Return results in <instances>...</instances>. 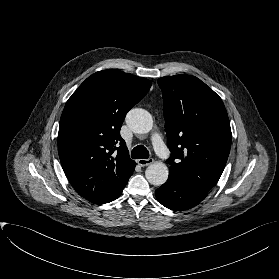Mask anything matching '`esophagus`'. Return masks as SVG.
I'll use <instances>...</instances> for the list:
<instances>
[{
	"label": "esophagus",
	"instance_id": "obj_1",
	"mask_svg": "<svg viewBox=\"0 0 279 279\" xmlns=\"http://www.w3.org/2000/svg\"><path fill=\"white\" fill-rule=\"evenodd\" d=\"M153 162H154V159H152V158H149V159H138L137 160L138 165H140L142 167L148 166V165L152 164Z\"/></svg>",
	"mask_w": 279,
	"mask_h": 279
}]
</instances>
